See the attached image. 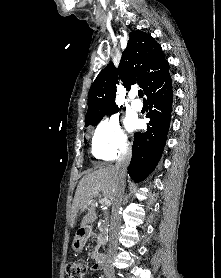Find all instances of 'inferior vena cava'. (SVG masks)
<instances>
[{"label":"inferior vena cava","mask_w":221,"mask_h":278,"mask_svg":"<svg viewBox=\"0 0 221 278\" xmlns=\"http://www.w3.org/2000/svg\"><path fill=\"white\" fill-rule=\"evenodd\" d=\"M130 160H131V151L126 150L121 153L115 166L118 172L119 183L114 192L115 198L112 203V213H111V221H110V229H109V245H108L106 260L104 263V272L113 270L112 257L114 256L117 248V236L121 225L120 208L122 205L123 194H124L126 170L130 163Z\"/></svg>","instance_id":"inferior-vena-cava-1"}]
</instances>
